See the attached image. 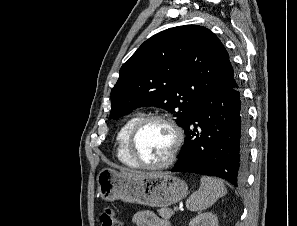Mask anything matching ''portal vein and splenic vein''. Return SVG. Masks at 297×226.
<instances>
[{
	"instance_id": "1",
	"label": "portal vein and splenic vein",
	"mask_w": 297,
	"mask_h": 226,
	"mask_svg": "<svg viewBox=\"0 0 297 226\" xmlns=\"http://www.w3.org/2000/svg\"><path fill=\"white\" fill-rule=\"evenodd\" d=\"M173 210H174V211H177V210H178V207H177V206H174V207H173Z\"/></svg>"
}]
</instances>
